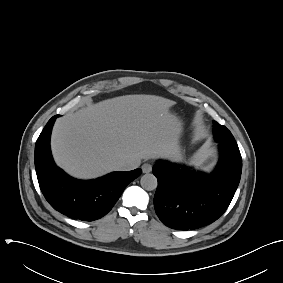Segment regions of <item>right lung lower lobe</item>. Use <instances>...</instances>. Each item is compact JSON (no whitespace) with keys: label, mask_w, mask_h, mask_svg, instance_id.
Masks as SVG:
<instances>
[{"label":"right lung lower lobe","mask_w":283,"mask_h":283,"mask_svg":"<svg viewBox=\"0 0 283 283\" xmlns=\"http://www.w3.org/2000/svg\"><path fill=\"white\" fill-rule=\"evenodd\" d=\"M53 116L35 145V168L40 189L49 204L60 213L82 221L97 220L106 215L126 186L141 174V169L113 172L95 180L81 181L58 168L50 150Z\"/></svg>","instance_id":"obj_1"}]
</instances>
